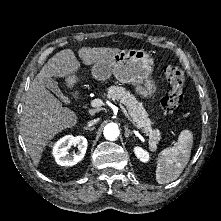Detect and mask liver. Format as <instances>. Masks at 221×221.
Instances as JSON below:
<instances>
[{"instance_id": "liver-1", "label": "liver", "mask_w": 221, "mask_h": 221, "mask_svg": "<svg viewBox=\"0 0 221 221\" xmlns=\"http://www.w3.org/2000/svg\"><path fill=\"white\" fill-rule=\"evenodd\" d=\"M118 48L82 47L78 56L85 65H92L99 60L120 52ZM80 69V63L71 49L56 53L42 67L32 81L23 106L21 134L27 151L37 166L47 143L54 136L78 123L77 114L46 89L44 80L51 77L66 78L71 81L73 74Z\"/></svg>"}]
</instances>
